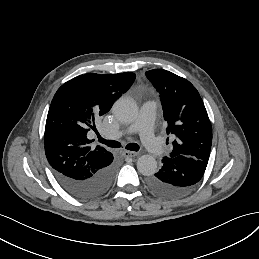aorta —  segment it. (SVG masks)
Wrapping results in <instances>:
<instances>
[{
  "mask_svg": "<svg viewBox=\"0 0 259 259\" xmlns=\"http://www.w3.org/2000/svg\"><path fill=\"white\" fill-rule=\"evenodd\" d=\"M113 113L123 123H131L138 114L135 101L128 97L119 98L113 106ZM138 171L145 176H152L157 171V161L152 155H142L137 160Z\"/></svg>",
  "mask_w": 259,
  "mask_h": 259,
  "instance_id": "obj_1",
  "label": "aorta"
}]
</instances>
